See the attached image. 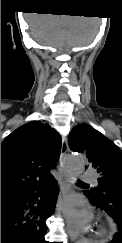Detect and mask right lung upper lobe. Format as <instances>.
<instances>
[{
  "label": "right lung upper lobe",
  "instance_id": "cb5924a9",
  "mask_svg": "<svg viewBox=\"0 0 122 243\" xmlns=\"http://www.w3.org/2000/svg\"><path fill=\"white\" fill-rule=\"evenodd\" d=\"M61 150L57 132L40 121L27 123L1 143V197L51 177Z\"/></svg>",
  "mask_w": 122,
  "mask_h": 243
}]
</instances>
